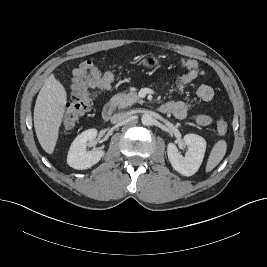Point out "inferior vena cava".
Listing matches in <instances>:
<instances>
[{
    "label": "inferior vena cava",
    "instance_id": "obj_1",
    "mask_svg": "<svg viewBox=\"0 0 267 267\" xmlns=\"http://www.w3.org/2000/svg\"><path fill=\"white\" fill-rule=\"evenodd\" d=\"M128 117V114L127 113H124V112H121V113H117V114H114L112 117H111V122L113 124L115 123H120L124 120H126Z\"/></svg>",
    "mask_w": 267,
    "mask_h": 267
}]
</instances>
